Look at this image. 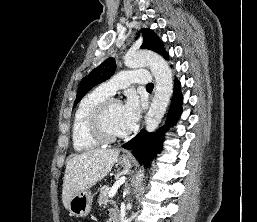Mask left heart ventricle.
<instances>
[{
    "label": "left heart ventricle",
    "instance_id": "obj_1",
    "mask_svg": "<svg viewBox=\"0 0 257 222\" xmlns=\"http://www.w3.org/2000/svg\"><path fill=\"white\" fill-rule=\"evenodd\" d=\"M105 128L111 135H124L121 131V105L113 106L105 119Z\"/></svg>",
    "mask_w": 257,
    "mask_h": 222
}]
</instances>
